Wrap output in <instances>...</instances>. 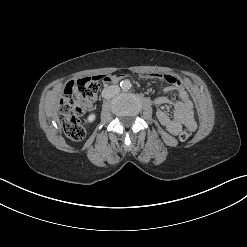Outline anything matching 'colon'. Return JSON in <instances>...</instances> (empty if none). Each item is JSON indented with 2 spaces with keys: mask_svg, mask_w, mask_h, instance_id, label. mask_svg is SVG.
I'll use <instances>...</instances> for the list:
<instances>
[{
  "mask_svg": "<svg viewBox=\"0 0 247 247\" xmlns=\"http://www.w3.org/2000/svg\"><path fill=\"white\" fill-rule=\"evenodd\" d=\"M102 76L85 77L66 84L59 101V114L65 134L73 141L84 138L81 118L86 105L94 101L100 89ZM191 136V130L185 128L179 135L181 141Z\"/></svg>",
  "mask_w": 247,
  "mask_h": 247,
  "instance_id": "1",
  "label": "colon"
}]
</instances>
